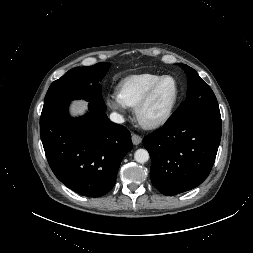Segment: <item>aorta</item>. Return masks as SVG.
<instances>
[{
  "label": "aorta",
  "mask_w": 253,
  "mask_h": 253,
  "mask_svg": "<svg viewBox=\"0 0 253 253\" xmlns=\"http://www.w3.org/2000/svg\"><path fill=\"white\" fill-rule=\"evenodd\" d=\"M149 153L146 149H138L136 150V152L134 153V159L136 162L138 163H145L149 160Z\"/></svg>",
  "instance_id": "obj_1"
}]
</instances>
